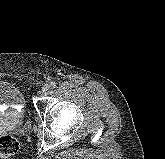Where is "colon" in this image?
Wrapping results in <instances>:
<instances>
[{
	"label": "colon",
	"mask_w": 165,
	"mask_h": 159,
	"mask_svg": "<svg viewBox=\"0 0 165 159\" xmlns=\"http://www.w3.org/2000/svg\"><path fill=\"white\" fill-rule=\"evenodd\" d=\"M19 149L18 141L9 136L5 135L0 137V158L6 159L14 155Z\"/></svg>",
	"instance_id": "5ec220e1"
}]
</instances>
